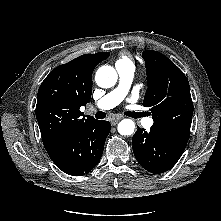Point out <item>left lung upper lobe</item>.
Masks as SVG:
<instances>
[{"label":"left lung upper lobe","instance_id":"1","mask_svg":"<svg viewBox=\"0 0 221 221\" xmlns=\"http://www.w3.org/2000/svg\"><path fill=\"white\" fill-rule=\"evenodd\" d=\"M148 88L143 106L149 107L151 130L171 141L186 144L193 116L189 82L184 73L163 54L146 50Z\"/></svg>","mask_w":221,"mask_h":221}]
</instances>
